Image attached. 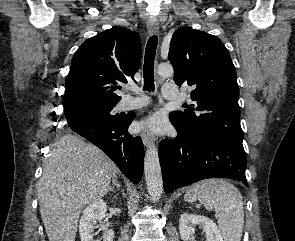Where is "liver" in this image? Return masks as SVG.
I'll return each instance as SVG.
<instances>
[{"instance_id":"1","label":"liver","mask_w":295,"mask_h":241,"mask_svg":"<svg viewBox=\"0 0 295 241\" xmlns=\"http://www.w3.org/2000/svg\"><path fill=\"white\" fill-rule=\"evenodd\" d=\"M117 172L108 156L78 136L68 134L54 144L38 184L49 241H75L81 210L107 194Z\"/></svg>"}]
</instances>
